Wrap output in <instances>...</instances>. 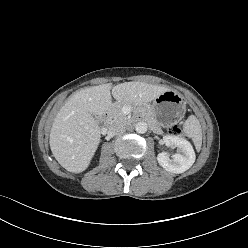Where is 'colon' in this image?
I'll return each instance as SVG.
<instances>
[{
  "mask_svg": "<svg viewBox=\"0 0 248 248\" xmlns=\"http://www.w3.org/2000/svg\"><path fill=\"white\" fill-rule=\"evenodd\" d=\"M170 131L173 134H180L181 133V127L179 125H174L170 128Z\"/></svg>",
  "mask_w": 248,
  "mask_h": 248,
  "instance_id": "colon-1",
  "label": "colon"
}]
</instances>
